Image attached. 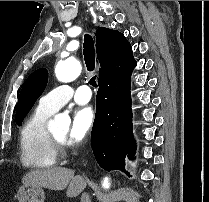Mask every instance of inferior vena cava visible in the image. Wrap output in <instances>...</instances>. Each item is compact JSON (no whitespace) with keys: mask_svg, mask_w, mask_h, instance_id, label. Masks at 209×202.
Returning <instances> with one entry per match:
<instances>
[{"mask_svg":"<svg viewBox=\"0 0 209 202\" xmlns=\"http://www.w3.org/2000/svg\"><path fill=\"white\" fill-rule=\"evenodd\" d=\"M81 202H91L90 196L87 193H83L81 196Z\"/></svg>","mask_w":209,"mask_h":202,"instance_id":"inferior-vena-cava-1","label":"inferior vena cava"}]
</instances>
